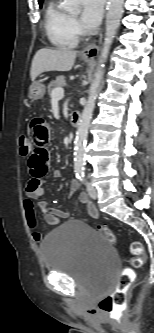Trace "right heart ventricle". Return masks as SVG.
Instances as JSON below:
<instances>
[{
	"label": "right heart ventricle",
	"instance_id": "right-heart-ventricle-1",
	"mask_svg": "<svg viewBox=\"0 0 154 333\" xmlns=\"http://www.w3.org/2000/svg\"><path fill=\"white\" fill-rule=\"evenodd\" d=\"M72 17L62 8L60 0H51L45 11L44 27L51 44L60 49L73 48L78 44Z\"/></svg>",
	"mask_w": 154,
	"mask_h": 333
}]
</instances>
